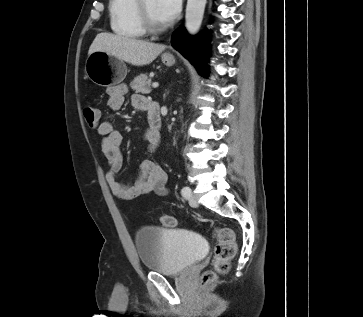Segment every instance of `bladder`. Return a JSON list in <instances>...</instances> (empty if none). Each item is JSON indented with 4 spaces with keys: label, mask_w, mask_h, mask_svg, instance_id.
I'll use <instances>...</instances> for the list:
<instances>
[{
    "label": "bladder",
    "mask_w": 363,
    "mask_h": 317,
    "mask_svg": "<svg viewBox=\"0 0 363 317\" xmlns=\"http://www.w3.org/2000/svg\"><path fill=\"white\" fill-rule=\"evenodd\" d=\"M135 247L141 265L163 275L185 272L208 253L205 238L186 229L146 226L135 233Z\"/></svg>",
    "instance_id": "obj_1"
}]
</instances>
